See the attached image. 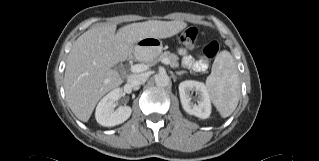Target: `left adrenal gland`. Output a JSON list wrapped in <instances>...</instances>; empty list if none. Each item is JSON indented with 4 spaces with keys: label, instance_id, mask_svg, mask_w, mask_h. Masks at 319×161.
Instances as JSON below:
<instances>
[{
    "label": "left adrenal gland",
    "instance_id": "1",
    "mask_svg": "<svg viewBox=\"0 0 319 161\" xmlns=\"http://www.w3.org/2000/svg\"><path fill=\"white\" fill-rule=\"evenodd\" d=\"M184 73H186V71L176 72V74L179 75V76L182 75V74H184Z\"/></svg>",
    "mask_w": 319,
    "mask_h": 161
}]
</instances>
